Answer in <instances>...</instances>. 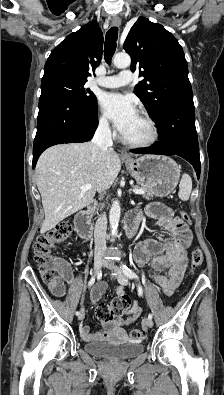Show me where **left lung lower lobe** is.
<instances>
[{
	"label": "left lung lower lobe",
	"mask_w": 224,
	"mask_h": 395,
	"mask_svg": "<svg viewBox=\"0 0 224 395\" xmlns=\"http://www.w3.org/2000/svg\"><path fill=\"white\" fill-rule=\"evenodd\" d=\"M155 122L160 135L159 142L151 147L134 149L131 152L181 156L193 165L199 179L201 164L194 103L169 106Z\"/></svg>",
	"instance_id": "1"
}]
</instances>
